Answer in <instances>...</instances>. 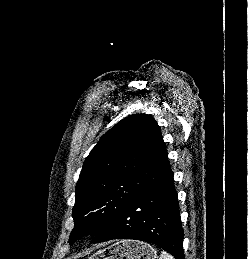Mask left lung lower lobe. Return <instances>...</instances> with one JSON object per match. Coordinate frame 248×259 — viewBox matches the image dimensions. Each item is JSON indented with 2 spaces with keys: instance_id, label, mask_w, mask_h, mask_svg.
I'll return each mask as SVG.
<instances>
[{
  "instance_id": "left-lung-lower-lobe-1",
  "label": "left lung lower lobe",
  "mask_w": 248,
  "mask_h": 259,
  "mask_svg": "<svg viewBox=\"0 0 248 259\" xmlns=\"http://www.w3.org/2000/svg\"><path fill=\"white\" fill-rule=\"evenodd\" d=\"M183 236L173 172L125 208L92 243L126 238L158 245L176 259H184Z\"/></svg>"
}]
</instances>
